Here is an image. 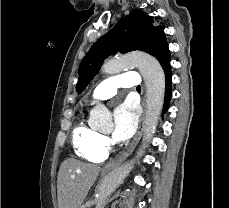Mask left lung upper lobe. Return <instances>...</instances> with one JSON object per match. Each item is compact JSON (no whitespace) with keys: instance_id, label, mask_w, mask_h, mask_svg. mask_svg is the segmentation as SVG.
<instances>
[{"instance_id":"5c2ea615","label":"left lung upper lobe","mask_w":229,"mask_h":208,"mask_svg":"<svg viewBox=\"0 0 229 208\" xmlns=\"http://www.w3.org/2000/svg\"><path fill=\"white\" fill-rule=\"evenodd\" d=\"M134 50L153 55L161 66L170 59L164 27L154 25L153 17L141 11H132L123 17L113 30L99 38L90 48L79 66L78 93L86 88L105 58L117 51L127 53Z\"/></svg>"}]
</instances>
